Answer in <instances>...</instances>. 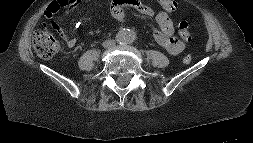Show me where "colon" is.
<instances>
[{
    "instance_id": "obj_1",
    "label": "colon",
    "mask_w": 253,
    "mask_h": 143,
    "mask_svg": "<svg viewBox=\"0 0 253 143\" xmlns=\"http://www.w3.org/2000/svg\"><path fill=\"white\" fill-rule=\"evenodd\" d=\"M83 3V0H55L47 8L50 14L55 15L62 8H74ZM178 33L180 37L190 39L189 24L183 20L178 25ZM33 47L36 53L42 58H51L59 51V42L56 37L44 26L43 29L37 30L33 34ZM184 64L192 62L191 55H185L182 59Z\"/></svg>"
}]
</instances>
